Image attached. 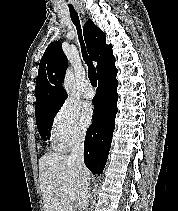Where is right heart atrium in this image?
<instances>
[{"label":"right heart atrium","mask_w":178,"mask_h":211,"mask_svg":"<svg viewBox=\"0 0 178 211\" xmlns=\"http://www.w3.org/2000/svg\"><path fill=\"white\" fill-rule=\"evenodd\" d=\"M87 133V126L81 120L77 107L65 101L55 112L52 119V134L61 148L81 143Z\"/></svg>","instance_id":"d8ad5b80"}]
</instances>
